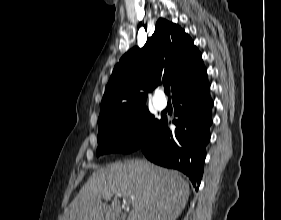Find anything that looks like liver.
Returning <instances> with one entry per match:
<instances>
[{
	"label": "liver",
	"instance_id": "liver-1",
	"mask_svg": "<svg viewBox=\"0 0 281 220\" xmlns=\"http://www.w3.org/2000/svg\"><path fill=\"white\" fill-rule=\"evenodd\" d=\"M113 191L135 198L130 200L127 220H176L190 194L188 182L177 171L144 159L115 162L92 173L65 210L63 220H117L121 206ZM109 193L111 205L102 202Z\"/></svg>",
	"mask_w": 281,
	"mask_h": 220
}]
</instances>
